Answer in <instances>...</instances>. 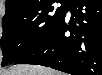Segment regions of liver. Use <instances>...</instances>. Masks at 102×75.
<instances>
[{
    "label": "liver",
    "instance_id": "liver-1",
    "mask_svg": "<svg viewBox=\"0 0 102 75\" xmlns=\"http://www.w3.org/2000/svg\"><path fill=\"white\" fill-rule=\"evenodd\" d=\"M2 75H60L59 72L39 65L21 64L2 72Z\"/></svg>",
    "mask_w": 102,
    "mask_h": 75
}]
</instances>
